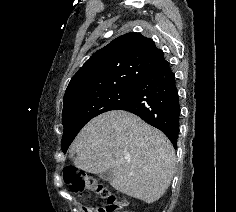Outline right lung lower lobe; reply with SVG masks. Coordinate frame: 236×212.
I'll list each match as a JSON object with an SVG mask.
<instances>
[{
    "label": "right lung lower lobe",
    "instance_id": "obj_1",
    "mask_svg": "<svg viewBox=\"0 0 236 212\" xmlns=\"http://www.w3.org/2000/svg\"><path fill=\"white\" fill-rule=\"evenodd\" d=\"M116 110L139 116L166 134L174 148L179 134L180 105L175 75L165 58L136 85L131 97Z\"/></svg>",
    "mask_w": 236,
    "mask_h": 212
}]
</instances>
